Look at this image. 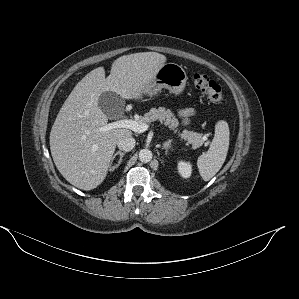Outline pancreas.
I'll return each mask as SVG.
<instances>
[{
  "label": "pancreas",
  "mask_w": 299,
  "mask_h": 299,
  "mask_svg": "<svg viewBox=\"0 0 299 299\" xmlns=\"http://www.w3.org/2000/svg\"><path fill=\"white\" fill-rule=\"evenodd\" d=\"M155 120H160L165 126H168L170 130H173L174 133H178L180 139L187 141V144H191L193 149L200 147L205 141V137L197 132L184 130L180 133L177 128L179 126L178 119L169 109H165L164 107H159L158 109L151 108L150 111L140 117L138 121L148 124Z\"/></svg>",
  "instance_id": "cf45deb5"
}]
</instances>
